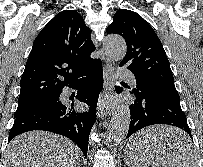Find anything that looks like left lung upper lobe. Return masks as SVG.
I'll list each match as a JSON object with an SVG mask.
<instances>
[{"instance_id":"obj_1","label":"left lung upper lobe","mask_w":203,"mask_h":167,"mask_svg":"<svg viewBox=\"0 0 203 167\" xmlns=\"http://www.w3.org/2000/svg\"><path fill=\"white\" fill-rule=\"evenodd\" d=\"M107 33L121 35L127 44V52L121 65L136 77V88H155L161 93H177L170 63L155 31L139 14L120 9L108 26Z\"/></svg>"}]
</instances>
